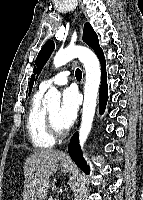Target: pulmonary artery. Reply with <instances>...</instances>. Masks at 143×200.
<instances>
[{"label":"pulmonary artery","mask_w":143,"mask_h":200,"mask_svg":"<svg viewBox=\"0 0 143 200\" xmlns=\"http://www.w3.org/2000/svg\"><path fill=\"white\" fill-rule=\"evenodd\" d=\"M70 72L69 71H62L55 76L44 80L40 84V88L44 91L49 89L52 86H60V85H65L68 82Z\"/></svg>","instance_id":"obj_1"}]
</instances>
